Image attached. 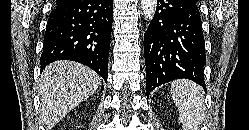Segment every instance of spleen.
Segmentation results:
<instances>
[{
  "mask_svg": "<svg viewBox=\"0 0 249 130\" xmlns=\"http://www.w3.org/2000/svg\"><path fill=\"white\" fill-rule=\"evenodd\" d=\"M171 95L179 110L184 130H198L205 117V104L201 88L190 80L171 83Z\"/></svg>",
  "mask_w": 249,
  "mask_h": 130,
  "instance_id": "obj_1",
  "label": "spleen"
}]
</instances>
